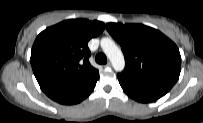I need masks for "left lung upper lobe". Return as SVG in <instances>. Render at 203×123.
<instances>
[{"instance_id":"5c2ea615","label":"left lung upper lobe","mask_w":203,"mask_h":123,"mask_svg":"<svg viewBox=\"0 0 203 123\" xmlns=\"http://www.w3.org/2000/svg\"><path fill=\"white\" fill-rule=\"evenodd\" d=\"M119 42L125 69L118 75L133 82L168 92L181 71L178 47L160 31L142 24H106Z\"/></svg>"}]
</instances>
